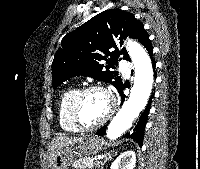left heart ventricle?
Masks as SVG:
<instances>
[{
	"label": "left heart ventricle",
	"mask_w": 200,
	"mask_h": 169,
	"mask_svg": "<svg viewBox=\"0 0 200 169\" xmlns=\"http://www.w3.org/2000/svg\"><path fill=\"white\" fill-rule=\"evenodd\" d=\"M109 102L105 94L93 91L86 94L79 105V118L85 126L98 123L107 113Z\"/></svg>",
	"instance_id": "left-heart-ventricle-1"
}]
</instances>
